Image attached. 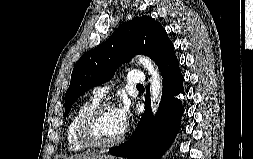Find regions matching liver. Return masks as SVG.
I'll return each mask as SVG.
<instances>
[{
	"instance_id": "6515ba94",
	"label": "liver",
	"mask_w": 253,
	"mask_h": 159,
	"mask_svg": "<svg viewBox=\"0 0 253 159\" xmlns=\"http://www.w3.org/2000/svg\"><path fill=\"white\" fill-rule=\"evenodd\" d=\"M104 157L113 158V156L111 155H105L102 153L93 152V153H86V154H76L70 157L69 159H102Z\"/></svg>"
}]
</instances>
